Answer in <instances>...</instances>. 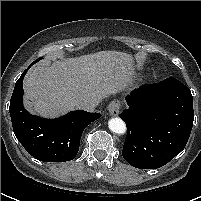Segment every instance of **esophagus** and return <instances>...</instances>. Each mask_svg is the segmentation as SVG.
Here are the masks:
<instances>
[{
	"instance_id": "1",
	"label": "esophagus",
	"mask_w": 201,
	"mask_h": 201,
	"mask_svg": "<svg viewBox=\"0 0 201 201\" xmlns=\"http://www.w3.org/2000/svg\"><path fill=\"white\" fill-rule=\"evenodd\" d=\"M120 103L118 101H113L109 104L108 110L112 116H118L120 111Z\"/></svg>"
}]
</instances>
